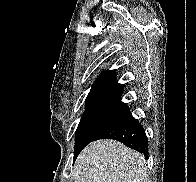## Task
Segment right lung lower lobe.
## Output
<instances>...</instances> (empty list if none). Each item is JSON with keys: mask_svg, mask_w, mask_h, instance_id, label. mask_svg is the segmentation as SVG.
Masks as SVG:
<instances>
[{"mask_svg": "<svg viewBox=\"0 0 196 182\" xmlns=\"http://www.w3.org/2000/svg\"><path fill=\"white\" fill-rule=\"evenodd\" d=\"M114 139L148 158V139L141 124L131 113L101 131L92 141ZM78 156V155H77ZM74 157V160L76 157Z\"/></svg>", "mask_w": 196, "mask_h": 182, "instance_id": "obj_1", "label": "right lung lower lobe"}]
</instances>
